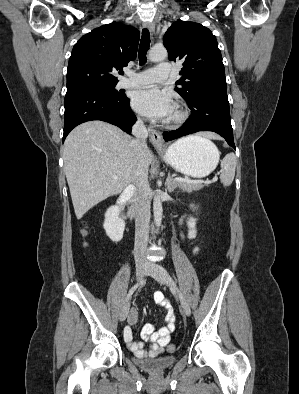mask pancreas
<instances>
[{"label": "pancreas", "mask_w": 299, "mask_h": 394, "mask_svg": "<svg viewBox=\"0 0 299 394\" xmlns=\"http://www.w3.org/2000/svg\"><path fill=\"white\" fill-rule=\"evenodd\" d=\"M203 184H187L183 182H175V188L179 187L181 190L191 193L192 191H198L203 188Z\"/></svg>", "instance_id": "obj_1"}]
</instances>
